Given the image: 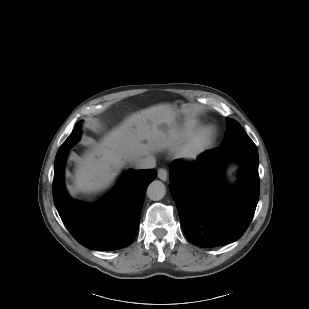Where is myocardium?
I'll return each mask as SVG.
<instances>
[{
    "mask_svg": "<svg viewBox=\"0 0 309 309\" xmlns=\"http://www.w3.org/2000/svg\"><path fill=\"white\" fill-rule=\"evenodd\" d=\"M216 137L217 129L214 125H205L196 129L180 149V157L188 163L199 161L210 150Z\"/></svg>",
    "mask_w": 309,
    "mask_h": 309,
    "instance_id": "1",
    "label": "myocardium"
}]
</instances>
